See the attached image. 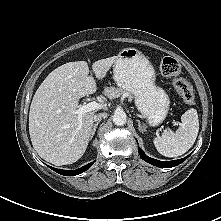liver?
Here are the masks:
<instances>
[{"mask_svg": "<svg viewBox=\"0 0 221 221\" xmlns=\"http://www.w3.org/2000/svg\"><path fill=\"white\" fill-rule=\"evenodd\" d=\"M117 57L92 64L102 80ZM96 91L86 61L63 64L53 70L34 94L29 111V134L39 156L56 166L72 164L85 153L93 128L95 111L74 114L79 99Z\"/></svg>", "mask_w": 221, "mask_h": 221, "instance_id": "liver-1", "label": "liver"}]
</instances>
